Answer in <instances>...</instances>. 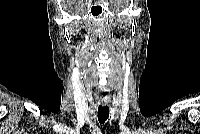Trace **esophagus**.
Masks as SVG:
<instances>
[{
    "label": "esophagus",
    "instance_id": "34e87169",
    "mask_svg": "<svg viewBox=\"0 0 200 134\" xmlns=\"http://www.w3.org/2000/svg\"><path fill=\"white\" fill-rule=\"evenodd\" d=\"M102 105H106V103H102Z\"/></svg>",
    "mask_w": 200,
    "mask_h": 134
}]
</instances>
